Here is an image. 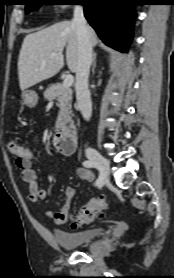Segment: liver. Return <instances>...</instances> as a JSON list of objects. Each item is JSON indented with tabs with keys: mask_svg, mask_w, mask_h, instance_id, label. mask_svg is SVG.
Masks as SVG:
<instances>
[{
	"mask_svg": "<svg viewBox=\"0 0 174 278\" xmlns=\"http://www.w3.org/2000/svg\"><path fill=\"white\" fill-rule=\"evenodd\" d=\"M89 40L92 46L98 43V37L91 28H89ZM65 46L68 68L76 72L78 37L76 27L71 21L59 22L28 34L23 40L18 59L20 89L24 91L56 75L64 66ZM53 53L55 56H52Z\"/></svg>",
	"mask_w": 174,
	"mask_h": 278,
	"instance_id": "obj_1",
	"label": "liver"
}]
</instances>
